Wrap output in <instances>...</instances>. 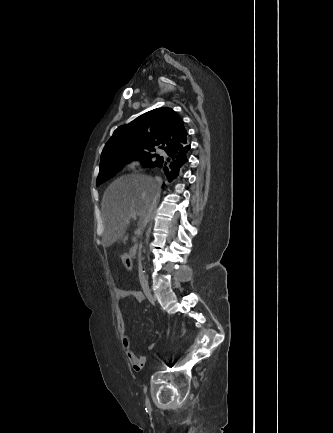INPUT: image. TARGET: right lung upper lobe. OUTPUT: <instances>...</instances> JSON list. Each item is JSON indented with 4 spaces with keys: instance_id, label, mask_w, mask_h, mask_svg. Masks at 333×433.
<instances>
[{
    "instance_id": "obj_1",
    "label": "right lung upper lobe",
    "mask_w": 333,
    "mask_h": 433,
    "mask_svg": "<svg viewBox=\"0 0 333 433\" xmlns=\"http://www.w3.org/2000/svg\"><path fill=\"white\" fill-rule=\"evenodd\" d=\"M159 144L166 152L188 144L183 120L171 108L151 110L118 127L106 143L101 160L128 150L154 149Z\"/></svg>"
}]
</instances>
